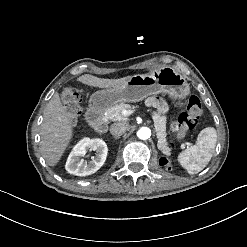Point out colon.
<instances>
[{
	"instance_id": "colon-1",
	"label": "colon",
	"mask_w": 247,
	"mask_h": 247,
	"mask_svg": "<svg viewBox=\"0 0 247 247\" xmlns=\"http://www.w3.org/2000/svg\"><path fill=\"white\" fill-rule=\"evenodd\" d=\"M62 99L67 114L73 119H78L81 116L80 98L78 93L73 90H66L63 93ZM201 111L202 106L199 98L195 95H191L188 100L187 112L181 113L177 119L179 122V129L177 131L178 140H183L188 135V131L192 130V127L201 116ZM170 147L174 150L176 145L171 144ZM161 164L167 170L173 168L171 158H163Z\"/></svg>"
}]
</instances>
